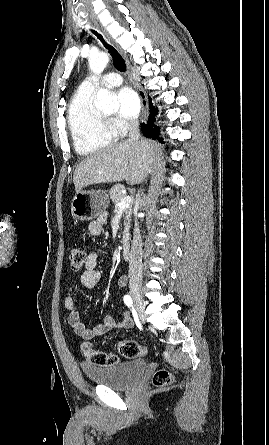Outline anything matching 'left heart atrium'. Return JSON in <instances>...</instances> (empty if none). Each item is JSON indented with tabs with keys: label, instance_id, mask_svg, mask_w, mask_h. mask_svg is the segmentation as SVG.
Wrapping results in <instances>:
<instances>
[{
	"label": "left heart atrium",
	"instance_id": "1",
	"mask_svg": "<svg viewBox=\"0 0 269 445\" xmlns=\"http://www.w3.org/2000/svg\"><path fill=\"white\" fill-rule=\"evenodd\" d=\"M119 104V115L125 119H135L140 110V99L137 93L129 88L124 87L117 93Z\"/></svg>",
	"mask_w": 269,
	"mask_h": 445
}]
</instances>
